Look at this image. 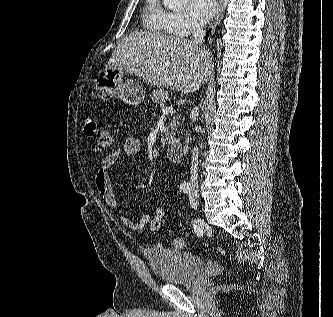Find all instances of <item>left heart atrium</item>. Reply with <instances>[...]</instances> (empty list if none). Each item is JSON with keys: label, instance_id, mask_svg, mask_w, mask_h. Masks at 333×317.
Returning <instances> with one entry per match:
<instances>
[{"label": "left heart atrium", "instance_id": "left-heart-atrium-1", "mask_svg": "<svg viewBox=\"0 0 333 317\" xmlns=\"http://www.w3.org/2000/svg\"><path fill=\"white\" fill-rule=\"evenodd\" d=\"M216 0H189L188 12L192 20L199 25L206 23L217 12Z\"/></svg>", "mask_w": 333, "mask_h": 317}]
</instances>
